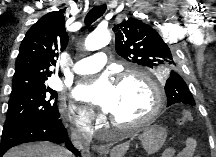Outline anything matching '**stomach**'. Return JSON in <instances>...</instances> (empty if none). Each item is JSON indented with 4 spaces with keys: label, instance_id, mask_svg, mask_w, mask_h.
<instances>
[{
    "label": "stomach",
    "instance_id": "obj_1",
    "mask_svg": "<svg viewBox=\"0 0 216 157\" xmlns=\"http://www.w3.org/2000/svg\"><path fill=\"white\" fill-rule=\"evenodd\" d=\"M166 136V129L160 125H152L150 127L144 128L141 134L143 149L149 155L158 152L163 146Z\"/></svg>",
    "mask_w": 216,
    "mask_h": 157
}]
</instances>
